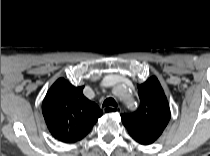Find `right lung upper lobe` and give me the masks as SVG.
I'll list each match as a JSON object with an SVG mask.
<instances>
[{
  "label": "right lung upper lobe",
  "instance_id": "1",
  "mask_svg": "<svg viewBox=\"0 0 210 156\" xmlns=\"http://www.w3.org/2000/svg\"><path fill=\"white\" fill-rule=\"evenodd\" d=\"M83 88L60 78L44 98L42 112L45 122L59 141L73 143L81 140L102 115V110L83 95Z\"/></svg>",
  "mask_w": 210,
  "mask_h": 156
}]
</instances>
